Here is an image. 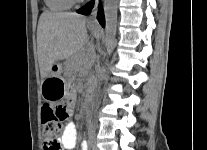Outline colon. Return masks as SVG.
I'll return each mask as SVG.
<instances>
[{"label": "colon", "mask_w": 207, "mask_h": 150, "mask_svg": "<svg viewBox=\"0 0 207 150\" xmlns=\"http://www.w3.org/2000/svg\"><path fill=\"white\" fill-rule=\"evenodd\" d=\"M70 108L65 104H45L41 120L45 150H62L57 138L62 130V123L68 118Z\"/></svg>", "instance_id": "1"}]
</instances>
